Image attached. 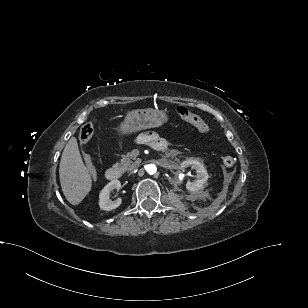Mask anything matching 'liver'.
Here are the masks:
<instances>
[{
    "label": "liver",
    "instance_id": "1",
    "mask_svg": "<svg viewBox=\"0 0 308 308\" xmlns=\"http://www.w3.org/2000/svg\"><path fill=\"white\" fill-rule=\"evenodd\" d=\"M59 177L63 194L73 205L79 204L91 190V176L83 163L75 137L69 139L63 150Z\"/></svg>",
    "mask_w": 308,
    "mask_h": 308
}]
</instances>
